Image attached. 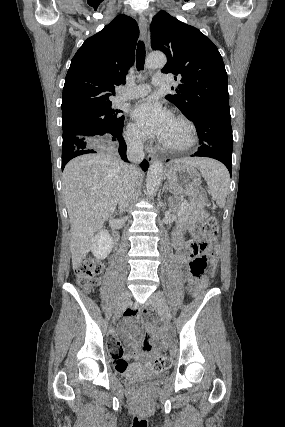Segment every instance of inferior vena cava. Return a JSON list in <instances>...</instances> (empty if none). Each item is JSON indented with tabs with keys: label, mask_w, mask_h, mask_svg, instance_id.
Instances as JSON below:
<instances>
[{
	"label": "inferior vena cava",
	"mask_w": 285,
	"mask_h": 427,
	"mask_svg": "<svg viewBox=\"0 0 285 427\" xmlns=\"http://www.w3.org/2000/svg\"><path fill=\"white\" fill-rule=\"evenodd\" d=\"M143 142L139 135L127 140V158L132 163L127 165L122 175V185L119 192L118 205L123 212L131 201L137 185V176L140 173L138 164L144 159Z\"/></svg>",
	"instance_id": "obj_1"
}]
</instances>
